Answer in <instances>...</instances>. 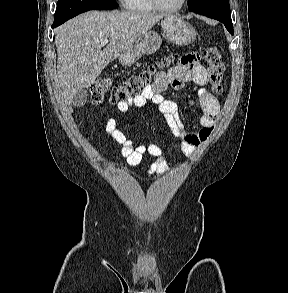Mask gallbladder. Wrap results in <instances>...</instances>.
<instances>
[{
	"mask_svg": "<svg viewBox=\"0 0 288 293\" xmlns=\"http://www.w3.org/2000/svg\"><path fill=\"white\" fill-rule=\"evenodd\" d=\"M87 91L86 89H81L76 92V94L73 97V105L76 107H83L87 102Z\"/></svg>",
	"mask_w": 288,
	"mask_h": 293,
	"instance_id": "gallbladder-1",
	"label": "gallbladder"
}]
</instances>
